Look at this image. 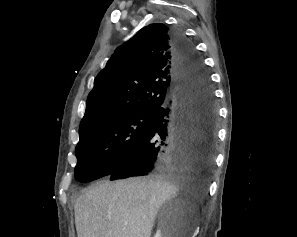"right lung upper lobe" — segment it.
<instances>
[{"label":"right lung upper lobe","instance_id":"right-lung-upper-lobe-1","mask_svg":"<svg viewBox=\"0 0 297 237\" xmlns=\"http://www.w3.org/2000/svg\"><path fill=\"white\" fill-rule=\"evenodd\" d=\"M173 60L172 30L161 23L142 28L95 78L79 133L98 121L155 112L168 103L180 86Z\"/></svg>","mask_w":297,"mask_h":237}]
</instances>
